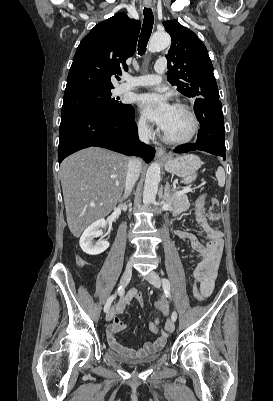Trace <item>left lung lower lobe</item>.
Returning <instances> with one entry per match:
<instances>
[{"label":"left lung lower lobe","instance_id":"0a47b994","mask_svg":"<svg viewBox=\"0 0 273 401\" xmlns=\"http://www.w3.org/2000/svg\"><path fill=\"white\" fill-rule=\"evenodd\" d=\"M194 112L201 125L195 143L177 147L174 152L202 150L225 159V128L222 104L219 99L196 98Z\"/></svg>","mask_w":273,"mask_h":401}]
</instances>
